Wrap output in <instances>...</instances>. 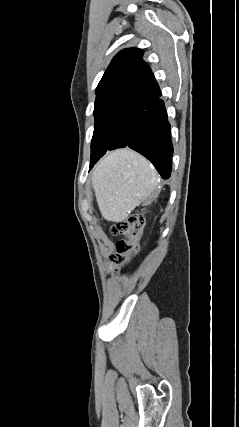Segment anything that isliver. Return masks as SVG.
Returning <instances> with one entry per match:
<instances>
[{
  "mask_svg": "<svg viewBox=\"0 0 239 427\" xmlns=\"http://www.w3.org/2000/svg\"><path fill=\"white\" fill-rule=\"evenodd\" d=\"M159 177L151 163L123 148L102 158L95 167L92 186L103 218L122 222L141 203L149 204L159 190Z\"/></svg>",
  "mask_w": 239,
  "mask_h": 427,
  "instance_id": "obj_1",
  "label": "liver"
}]
</instances>
